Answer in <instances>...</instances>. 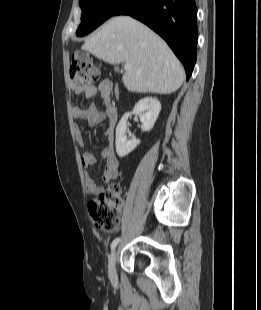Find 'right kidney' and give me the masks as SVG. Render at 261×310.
<instances>
[{
    "label": "right kidney",
    "instance_id": "1",
    "mask_svg": "<svg viewBox=\"0 0 261 310\" xmlns=\"http://www.w3.org/2000/svg\"><path fill=\"white\" fill-rule=\"evenodd\" d=\"M161 110V104L158 99L146 97L136 103L132 112L125 113L116 127V152L119 157H124L132 152L140 140L136 138L128 139L126 135L127 120L132 114L139 115L142 123V131H150Z\"/></svg>",
    "mask_w": 261,
    "mask_h": 310
}]
</instances>
